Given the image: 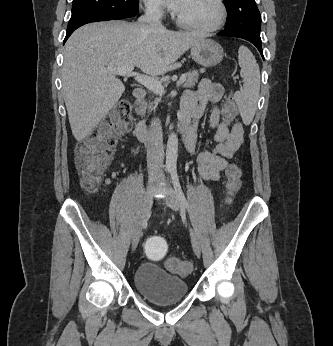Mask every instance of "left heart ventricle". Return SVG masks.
<instances>
[{"label": "left heart ventricle", "instance_id": "obj_1", "mask_svg": "<svg viewBox=\"0 0 333 346\" xmlns=\"http://www.w3.org/2000/svg\"><path fill=\"white\" fill-rule=\"evenodd\" d=\"M178 15L193 24L210 26L217 21L219 9L214 0H187Z\"/></svg>", "mask_w": 333, "mask_h": 346}]
</instances>
